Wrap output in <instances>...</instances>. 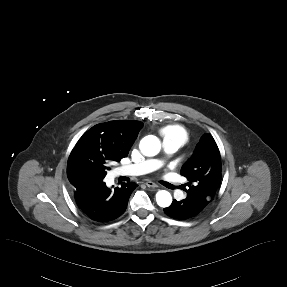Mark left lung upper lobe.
<instances>
[{
  "label": "left lung upper lobe",
  "mask_w": 287,
  "mask_h": 287,
  "mask_svg": "<svg viewBox=\"0 0 287 287\" xmlns=\"http://www.w3.org/2000/svg\"><path fill=\"white\" fill-rule=\"evenodd\" d=\"M221 156L210 134H204L193 156L182 166L181 175L188 179L187 197L206 207L220 185Z\"/></svg>",
  "instance_id": "left-lung-upper-lobe-1"
}]
</instances>
